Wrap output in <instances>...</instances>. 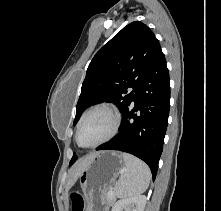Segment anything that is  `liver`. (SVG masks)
<instances>
[{"label": "liver", "mask_w": 221, "mask_h": 211, "mask_svg": "<svg viewBox=\"0 0 221 211\" xmlns=\"http://www.w3.org/2000/svg\"><path fill=\"white\" fill-rule=\"evenodd\" d=\"M95 155L96 153H92L84 158H81L80 160L76 161V163L72 166L66 186V194H68V191L75 184L83 169L87 166V164L93 159Z\"/></svg>", "instance_id": "obj_1"}]
</instances>
